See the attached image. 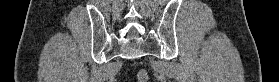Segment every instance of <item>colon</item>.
Returning a JSON list of instances; mask_svg holds the SVG:
<instances>
[{"label":"colon","mask_w":279,"mask_h":82,"mask_svg":"<svg viewBox=\"0 0 279 82\" xmlns=\"http://www.w3.org/2000/svg\"><path fill=\"white\" fill-rule=\"evenodd\" d=\"M137 80L138 82H148V75L146 71L144 70L139 71L137 74Z\"/></svg>","instance_id":"colon-1"}]
</instances>
